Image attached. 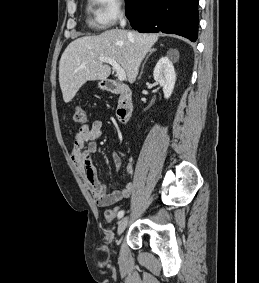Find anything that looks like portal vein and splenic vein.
<instances>
[{
	"mask_svg": "<svg viewBox=\"0 0 259 283\" xmlns=\"http://www.w3.org/2000/svg\"><path fill=\"white\" fill-rule=\"evenodd\" d=\"M101 63H108L110 64L113 69L116 71V75L120 81H124L126 79V73L124 69L114 60L108 57H101L99 58Z\"/></svg>",
	"mask_w": 259,
	"mask_h": 283,
	"instance_id": "portal-vein-and-splenic-vein-1",
	"label": "portal vein and splenic vein"
}]
</instances>
